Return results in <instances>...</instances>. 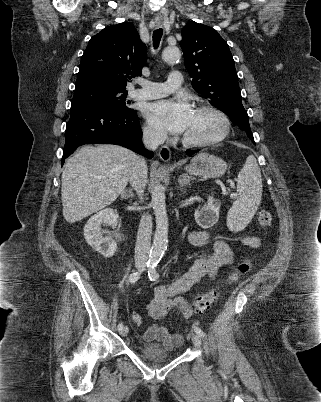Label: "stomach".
I'll use <instances>...</instances> for the list:
<instances>
[{
	"mask_svg": "<svg viewBox=\"0 0 321 402\" xmlns=\"http://www.w3.org/2000/svg\"><path fill=\"white\" fill-rule=\"evenodd\" d=\"M185 169L193 175L216 178L226 172L227 163L215 155L198 153L191 159L190 164Z\"/></svg>",
	"mask_w": 321,
	"mask_h": 402,
	"instance_id": "0dacf381",
	"label": "stomach"
}]
</instances>
